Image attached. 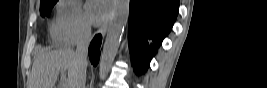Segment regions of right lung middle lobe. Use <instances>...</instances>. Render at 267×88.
I'll use <instances>...</instances> for the list:
<instances>
[{
    "instance_id": "dd1d6c3e",
    "label": "right lung middle lobe",
    "mask_w": 267,
    "mask_h": 88,
    "mask_svg": "<svg viewBox=\"0 0 267 88\" xmlns=\"http://www.w3.org/2000/svg\"><path fill=\"white\" fill-rule=\"evenodd\" d=\"M58 0H47L40 3V14L42 17L49 16L50 12Z\"/></svg>"
}]
</instances>
